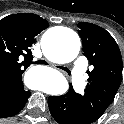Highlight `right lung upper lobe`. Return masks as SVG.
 I'll return each mask as SVG.
<instances>
[{
	"label": "right lung upper lobe",
	"instance_id": "cb5924a9",
	"mask_svg": "<svg viewBox=\"0 0 124 124\" xmlns=\"http://www.w3.org/2000/svg\"><path fill=\"white\" fill-rule=\"evenodd\" d=\"M47 27L45 19L32 13L13 14L0 20V90L23 84L22 74L33 59L30 47Z\"/></svg>",
	"mask_w": 124,
	"mask_h": 124
}]
</instances>
